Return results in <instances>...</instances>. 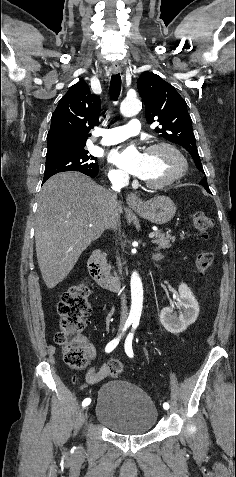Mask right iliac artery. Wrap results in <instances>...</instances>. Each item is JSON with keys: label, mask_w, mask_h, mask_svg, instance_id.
Returning <instances> with one entry per match:
<instances>
[{"label": "right iliac artery", "mask_w": 236, "mask_h": 477, "mask_svg": "<svg viewBox=\"0 0 236 477\" xmlns=\"http://www.w3.org/2000/svg\"><path fill=\"white\" fill-rule=\"evenodd\" d=\"M131 323H132L131 321H127L124 325V328H123L122 332H125L127 330V328L131 325ZM121 336H122V334H120L118 337H116L115 339H113L112 341H110L106 345V348H105L106 353H110L111 351H113L116 348V346L118 345V343L121 339ZM90 403H91V399L90 398H85L82 402V406L86 407Z\"/></svg>", "instance_id": "82829eb1"}]
</instances>
